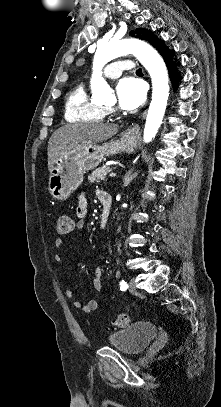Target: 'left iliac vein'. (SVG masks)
Segmentation results:
<instances>
[{
    "instance_id": "left-iliac-vein-1",
    "label": "left iliac vein",
    "mask_w": 221,
    "mask_h": 407,
    "mask_svg": "<svg viewBox=\"0 0 221 407\" xmlns=\"http://www.w3.org/2000/svg\"><path fill=\"white\" fill-rule=\"evenodd\" d=\"M128 290L130 293H135L136 292V286L134 281L131 279L128 285Z\"/></svg>"
}]
</instances>
